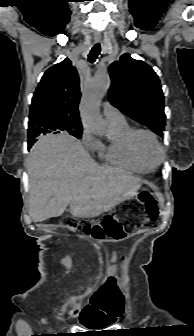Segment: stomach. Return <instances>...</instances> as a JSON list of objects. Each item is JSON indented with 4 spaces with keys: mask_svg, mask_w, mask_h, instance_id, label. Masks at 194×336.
Listing matches in <instances>:
<instances>
[{
    "mask_svg": "<svg viewBox=\"0 0 194 336\" xmlns=\"http://www.w3.org/2000/svg\"><path fill=\"white\" fill-rule=\"evenodd\" d=\"M134 195H136V193H134L132 196H134ZM132 196H130V197H132Z\"/></svg>",
    "mask_w": 194,
    "mask_h": 336,
    "instance_id": "0dacf381",
    "label": "stomach"
}]
</instances>
